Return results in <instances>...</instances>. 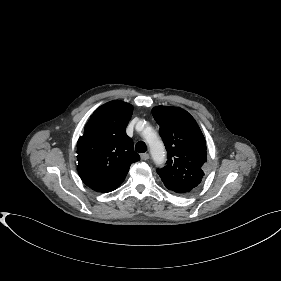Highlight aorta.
I'll list each match as a JSON object with an SVG mask.
<instances>
[{
    "label": "aorta",
    "mask_w": 281,
    "mask_h": 281,
    "mask_svg": "<svg viewBox=\"0 0 281 281\" xmlns=\"http://www.w3.org/2000/svg\"><path fill=\"white\" fill-rule=\"evenodd\" d=\"M149 147L153 160L156 164H162L165 161V147L163 142L159 139L156 133L150 131L145 137Z\"/></svg>",
    "instance_id": "aorta-1"
}]
</instances>
